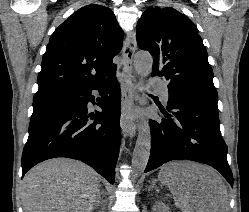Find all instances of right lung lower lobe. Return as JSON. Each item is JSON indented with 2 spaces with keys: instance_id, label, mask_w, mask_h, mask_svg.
Wrapping results in <instances>:
<instances>
[{
  "instance_id": "98d812e1",
  "label": "right lung lower lobe",
  "mask_w": 249,
  "mask_h": 212,
  "mask_svg": "<svg viewBox=\"0 0 249 212\" xmlns=\"http://www.w3.org/2000/svg\"><path fill=\"white\" fill-rule=\"evenodd\" d=\"M102 95V111L87 115L92 90ZM120 88L114 74L91 87L34 97L29 137L22 155V176L34 165L55 157L81 160L111 184L121 141ZM90 119H94L91 123Z\"/></svg>"
}]
</instances>
